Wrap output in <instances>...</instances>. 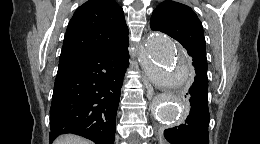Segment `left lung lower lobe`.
Wrapping results in <instances>:
<instances>
[{
	"mask_svg": "<svg viewBox=\"0 0 260 144\" xmlns=\"http://www.w3.org/2000/svg\"><path fill=\"white\" fill-rule=\"evenodd\" d=\"M188 54L196 70L194 83L185 95L186 101L190 102V113L182 124L166 129L164 136L172 144H209L207 59L195 52Z\"/></svg>",
	"mask_w": 260,
	"mask_h": 144,
	"instance_id": "0a47b994",
	"label": "left lung lower lobe"
}]
</instances>
